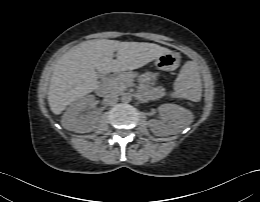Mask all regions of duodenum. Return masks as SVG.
Segmentation results:
<instances>
[{"label": "duodenum", "mask_w": 260, "mask_h": 202, "mask_svg": "<svg viewBox=\"0 0 260 202\" xmlns=\"http://www.w3.org/2000/svg\"><path fill=\"white\" fill-rule=\"evenodd\" d=\"M117 75V71L116 70H112V71H110V72H108L107 74H106V77L107 78H112V77H114V76H116ZM102 90V86H98L97 87V91L98 92H100Z\"/></svg>", "instance_id": "1"}]
</instances>
